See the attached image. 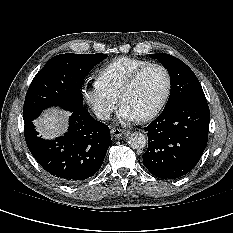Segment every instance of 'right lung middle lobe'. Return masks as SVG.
I'll return each instance as SVG.
<instances>
[{"mask_svg": "<svg viewBox=\"0 0 233 233\" xmlns=\"http://www.w3.org/2000/svg\"><path fill=\"white\" fill-rule=\"evenodd\" d=\"M106 57L101 53H66L51 58L29 86L23 108L24 123L34 120L42 110L53 105L66 110L83 107V81Z\"/></svg>", "mask_w": 233, "mask_h": 233, "instance_id": "right-lung-middle-lobe-1", "label": "right lung middle lobe"}]
</instances>
